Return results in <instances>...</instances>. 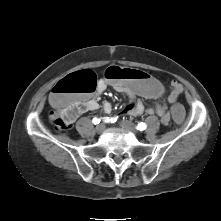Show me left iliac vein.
<instances>
[{
    "label": "left iliac vein",
    "mask_w": 221,
    "mask_h": 221,
    "mask_svg": "<svg viewBox=\"0 0 221 221\" xmlns=\"http://www.w3.org/2000/svg\"><path fill=\"white\" fill-rule=\"evenodd\" d=\"M120 126L121 128L133 132V133H138L137 128L129 121L125 120V121H121L120 122Z\"/></svg>",
    "instance_id": "1"
}]
</instances>
